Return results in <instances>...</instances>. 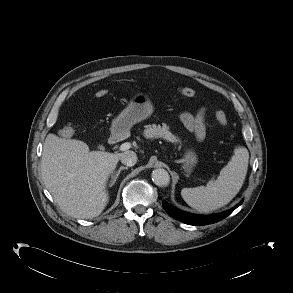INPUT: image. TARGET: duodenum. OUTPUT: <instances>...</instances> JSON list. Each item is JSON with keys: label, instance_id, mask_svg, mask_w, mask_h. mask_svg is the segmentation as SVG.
Masks as SVG:
<instances>
[{"label": "duodenum", "instance_id": "obj_1", "mask_svg": "<svg viewBox=\"0 0 293 293\" xmlns=\"http://www.w3.org/2000/svg\"><path fill=\"white\" fill-rule=\"evenodd\" d=\"M126 138V133L123 130H116L109 138V143L111 145H116Z\"/></svg>", "mask_w": 293, "mask_h": 293}]
</instances>
